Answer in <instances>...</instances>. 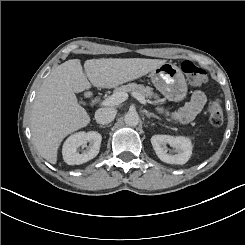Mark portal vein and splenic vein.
I'll use <instances>...</instances> for the list:
<instances>
[{
  "label": "portal vein and splenic vein",
  "instance_id": "obj_1",
  "mask_svg": "<svg viewBox=\"0 0 245 245\" xmlns=\"http://www.w3.org/2000/svg\"><path fill=\"white\" fill-rule=\"evenodd\" d=\"M130 94L141 103H144V97L140 93L132 91ZM128 97L129 95L125 92L113 93L109 98L105 100L104 104L108 106L117 105L122 102H125L128 99Z\"/></svg>",
  "mask_w": 245,
  "mask_h": 245
}]
</instances>
